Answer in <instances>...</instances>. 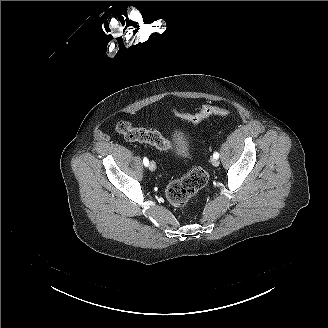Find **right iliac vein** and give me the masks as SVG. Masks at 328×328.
Wrapping results in <instances>:
<instances>
[{"label": "right iliac vein", "mask_w": 328, "mask_h": 328, "mask_svg": "<svg viewBox=\"0 0 328 328\" xmlns=\"http://www.w3.org/2000/svg\"><path fill=\"white\" fill-rule=\"evenodd\" d=\"M149 169L150 171H155L156 170V164L154 161H151L149 164Z\"/></svg>", "instance_id": "63e3f726"}]
</instances>
